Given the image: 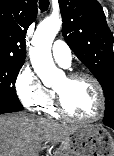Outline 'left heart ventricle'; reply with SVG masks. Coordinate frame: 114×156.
Masks as SVG:
<instances>
[{"instance_id": "1", "label": "left heart ventricle", "mask_w": 114, "mask_h": 156, "mask_svg": "<svg viewBox=\"0 0 114 156\" xmlns=\"http://www.w3.org/2000/svg\"><path fill=\"white\" fill-rule=\"evenodd\" d=\"M60 92L66 110L80 118L92 117L98 110V95L93 83L87 78L68 80L62 78L55 86Z\"/></svg>"}]
</instances>
